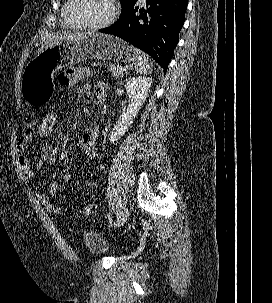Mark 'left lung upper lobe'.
Returning <instances> with one entry per match:
<instances>
[{
  "label": "left lung upper lobe",
  "mask_w": 272,
  "mask_h": 303,
  "mask_svg": "<svg viewBox=\"0 0 272 303\" xmlns=\"http://www.w3.org/2000/svg\"><path fill=\"white\" fill-rule=\"evenodd\" d=\"M122 5V14L126 12L130 7H132L137 0H120Z\"/></svg>",
  "instance_id": "obj_1"
}]
</instances>
